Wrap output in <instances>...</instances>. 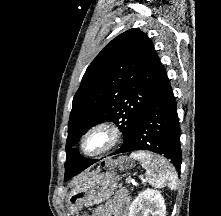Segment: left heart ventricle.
<instances>
[{
    "instance_id": "1",
    "label": "left heart ventricle",
    "mask_w": 221,
    "mask_h": 216,
    "mask_svg": "<svg viewBox=\"0 0 221 216\" xmlns=\"http://www.w3.org/2000/svg\"><path fill=\"white\" fill-rule=\"evenodd\" d=\"M103 142V139L101 136L96 135L94 137H92L86 144V150L87 151H94L96 149H98L101 144Z\"/></svg>"
}]
</instances>
